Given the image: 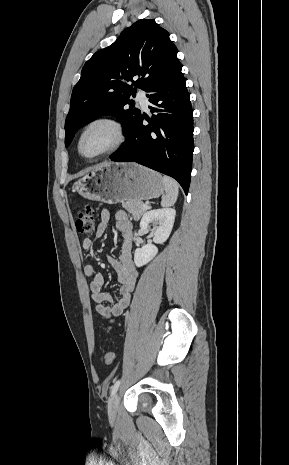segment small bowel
<instances>
[{"label": "small bowel", "instance_id": "obj_1", "mask_svg": "<svg viewBox=\"0 0 289 465\" xmlns=\"http://www.w3.org/2000/svg\"><path fill=\"white\" fill-rule=\"evenodd\" d=\"M114 218L116 228L122 234L123 243L119 257L117 259L109 257L108 261L116 271L120 283L119 298L114 299L103 291L105 284L104 277L94 266L86 265L84 267L85 275L91 279L90 292L92 299L96 303V311L103 318L107 319L120 316L127 308L138 278V271L132 254L133 225L124 211L116 212ZM109 221L110 212L107 209H103L100 212V223L95 232L97 238L105 234ZM92 245L93 241L91 238H85L82 241V248L84 250H89Z\"/></svg>", "mask_w": 289, "mask_h": 465}]
</instances>
